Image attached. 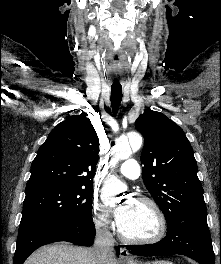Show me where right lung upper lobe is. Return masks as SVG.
I'll use <instances>...</instances> for the list:
<instances>
[{
  "label": "right lung upper lobe",
  "mask_w": 221,
  "mask_h": 264,
  "mask_svg": "<svg viewBox=\"0 0 221 264\" xmlns=\"http://www.w3.org/2000/svg\"><path fill=\"white\" fill-rule=\"evenodd\" d=\"M99 140L90 119L72 116L58 124L32 162L26 190L48 184L92 186Z\"/></svg>",
  "instance_id": "obj_1"
}]
</instances>
